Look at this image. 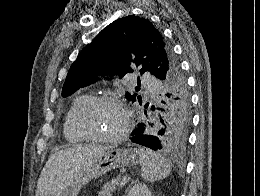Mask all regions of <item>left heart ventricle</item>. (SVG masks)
<instances>
[{"mask_svg":"<svg viewBox=\"0 0 260 196\" xmlns=\"http://www.w3.org/2000/svg\"><path fill=\"white\" fill-rule=\"evenodd\" d=\"M85 123L96 134H115L123 127L124 113L118 105L101 104L86 117Z\"/></svg>","mask_w":260,"mask_h":196,"instance_id":"b2bd125f","label":"left heart ventricle"}]
</instances>
